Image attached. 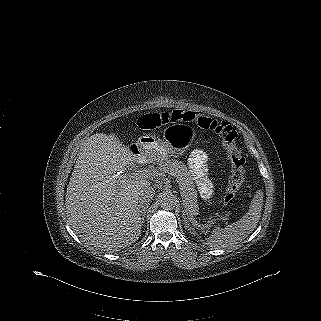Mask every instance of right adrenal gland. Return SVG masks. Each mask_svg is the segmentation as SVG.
<instances>
[{
  "label": "right adrenal gland",
  "mask_w": 321,
  "mask_h": 321,
  "mask_svg": "<svg viewBox=\"0 0 321 321\" xmlns=\"http://www.w3.org/2000/svg\"><path fill=\"white\" fill-rule=\"evenodd\" d=\"M148 205L149 204H144L141 206V219H142V223H144V218H145V215H146V210L148 208Z\"/></svg>",
  "instance_id": "1"
}]
</instances>
